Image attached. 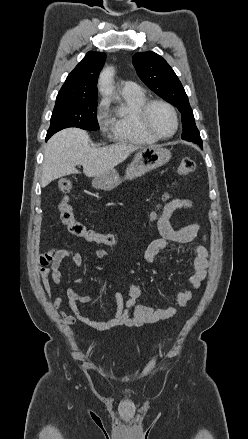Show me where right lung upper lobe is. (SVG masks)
Masks as SVG:
<instances>
[{"instance_id":"right-lung-upper-lobe-1","label":"right lung upper lobe","mask_w":248,"mask_h":439,"mask_svg":"<svg viewBox=\"0 0 248 439\" xmlns=\"http://www.w3.org/2000/svg\"><path fill=\"white\" fill-rule=\"evenodd\" d=\"M105 58V53L88 52L84 59L68 75L57 98H98L97 79Z\"/></svg>"}]
</instances>
